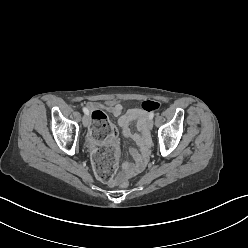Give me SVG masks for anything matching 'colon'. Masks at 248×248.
<instances>
[{
    "label": "colon",
    "mask_w": 248,
    "mask_h": 248,
    "mask_svg": "<svg viewBox=\"0 0 248 248\" xmlns=\"http://www.w3.org/2000/svg\"><path fill=\"white\" fill-rule=\"evenodd\" d=\"M161 108V103L155 100H145L141 103V109L147 113L157 111ZM92 126L90 135V147L97 150L91 157L92 169L99 180L116 182L115 173L117 171V158L120 156V147L117 144L104 145L108 136H115L116 127L112 124L104 112L95 109L91 112ZM119 186L123 189L129 187L126 177L119 178Z\"/></svg>",
    "instance_id": "1"
}]
</instances>
